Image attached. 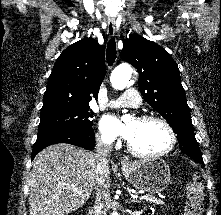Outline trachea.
Masks as SVG:
<instances>
[{
    "label": "trachea",
    "instance_id": "obj_1",
    "mask_svg": "<svg viewBox=\"0 0 221 215\" xmlns=\"http://www.w3.org/2000/svg\"><path fill=\"white\" fill-rule=\"evenodd\" d=\"M116 42L114 38H111L107 44V51H106V59L109 66L113 65L116 59Z\"/></svg>",
    "mask_w": 221,
    "mask_h": 215
}]
</instances>
